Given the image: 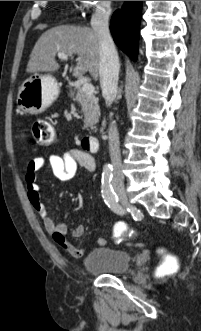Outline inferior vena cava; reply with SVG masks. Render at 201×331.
Instances as JSON below:
<instances>
[{"label":"inferior vena cava","instance_id":"inferior-vena-cava-1","mask_svg":"<svg viewBox=\"0 0 201 331\" xmlns=\"http://www.w3.org/2000/svg\"><path fill=\"white\" fill-rule=\"evenodd\" d=\"M110 13V9L100 7L91 18L92 29L98 34L99 38V76L102 95L107 106H110L116 98L120 69L118 53L109 32L108 22ZM108 144L110 159L113 166V175H117L120 180H123L119 134L117 127L113 126L111 123L108 130Z\"/></svg>","mask_w":201,"mask_h":331}]
</instances>
